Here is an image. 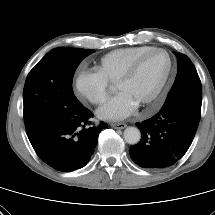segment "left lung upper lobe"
Instances as JSON below:
<instances>
[{
	"instance_id": "obj_1",
	"label": "left lung upper lobe",
	"mask_w": 215,
	"mask_h": 215,
	"mask_svg": "<svg viewBox=\"0 0 215 215\" xmlns=\"http://www.w3.org/2000/svg\"><path fill=\"white\" fill-rule=\"evenodd\" d=\"M175 54L177 75L166 100L182 98L201 107L202 87L196 68L186 55L177 52Z\"/></svg>"
}]
</instances>
